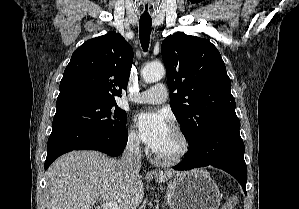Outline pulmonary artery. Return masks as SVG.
Masks as SVG:
<instances>
[{
	"label": "pulmonary artery",
	"instance_id": "obj_1",
	"mask_svg": "<svg viewBox=\"0 0 299 209\" xmlns=\"http://www.w3.org/2000/svg\"><path fill=\"white\" fill-rule=\"evenodd\" d=\"M168 98V90L162 83H158L149 89L139 92L131 98L136 103L161 104Z\"/></svg>",
	"mask_w": 299,
	"mask_h": 209
}]
</instances>
